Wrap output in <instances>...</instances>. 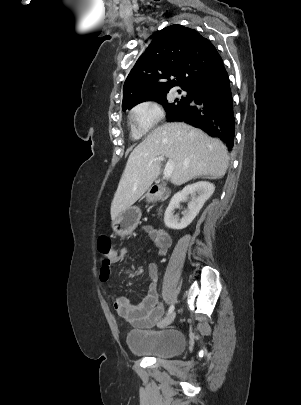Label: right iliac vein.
Returning a JSON list of instances; mask_svg holds the SVG:
<instances>
[{"mask_svg":"<svg viewBox=\"0 0 301 405\" xmlns=\"http://www.w3.org/2000/svg\"><path fill=\"white\" fill-rule=\"evenodd\" d=\"M174 318H175V313H171L165 319L160 321L157 325L160 328L166 327L173 322Z\"/></svg>","mask_w":301,"mask_h":405,"instance_id":"obj_1","label":"right iliac vein"}]
</instances>
